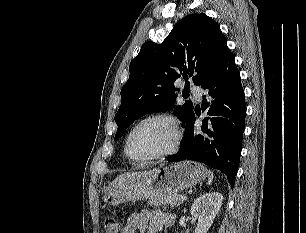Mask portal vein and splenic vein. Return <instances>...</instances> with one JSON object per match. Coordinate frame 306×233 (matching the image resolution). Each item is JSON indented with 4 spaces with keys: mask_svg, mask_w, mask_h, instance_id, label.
Segmentation results:
<instances>
[{
    "mask_svg": "<svg viewBox=\"0 0 306 233\" xmlns=\"http://www.w3.org/2000/svg\"><path fill=\"white\" fill-rule=\"evenodd\" d=\"M179 200L185 201V200H187V196H181V197L179 198Z\"/></svg>",
    "mask_w": 306,
    "mask_h": 233,
    "instance_id": "obj_1",
    "label": "portal vein and splenic vein"
}]
</instances>
